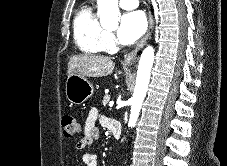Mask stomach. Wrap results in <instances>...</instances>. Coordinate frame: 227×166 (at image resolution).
Instances as JSON below:
<instances>
[{"label": "stomach", "instance_id": "0dacf381", "mask_svg": "<svg viewBox=\"0 0 227 166\" xmlns=\"http://www.w3.org/2000/svg\"><path fill=\"white\" fill-rule=\"evenodd\" d=\"M65 92L71 103L80 105L93 95L94 88L86 77L72 74L66 80Z\"/></svg>", "mask_w": 227, "mask_h": 166}]
</instances>
